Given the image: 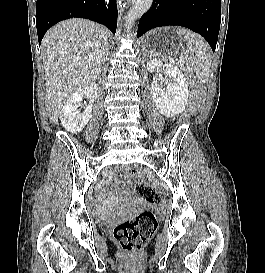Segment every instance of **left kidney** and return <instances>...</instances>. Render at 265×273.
<instances>
[{"mask_svg": "<svg viewBox=\"0 0 265 273\" xmlns=\"http://www.w3.org/2000/svg\"><path fill=\"white\" fill-rule=\"evenodd\" d=\"M163 67L166 76L172 78L166 88L158 84L157 79L151 83V95L157 109L166 117L175 116L185 110L188 101V82L183 72L175 65L156 59L147 62V70L153 73L157 68Z\"/></svg>", "mask_w": 265, "mask_h": 273, "instance_id": "left-kidney-1", "label": "left kidney"}]
</instances>
